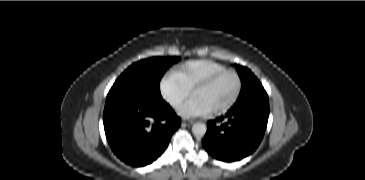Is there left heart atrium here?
Segmentation results:
<instances>
[{
  "mask_svg": "<svg viewBox=\"0 0 365 180\" xmlns=\"http://www.w3.org/2000/svg\"><path fill=\"white\" fill-rule=\"evenodd\" d=\"M209 111V109L204 106L199 100L194 98L191 102H189L182 110L181 112L184 115L189 116H199L204 115Z\"/></svg>",
  "mask_w": 365,
  "mask_h": 180,
  "instance_id": "left-heart-atrium-1",
  "label": "left heart atrium"
}]
</instances>
